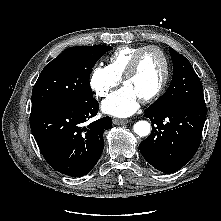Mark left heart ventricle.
I'll use <instances>...</instances> for the list:
<instances>
[{
  "mask_svg": "<svg viewBox=\"0 0 221 221\" xmlns=\"http://www.w3.org/2000/svg\"><path fill=\"white\" fill-rule=\"evenodd\" d=\"M163 60L157 51L146 52L139 63L136 73L124 83L141 100L158 87L163 76Z\"/></svg>",
  "mask_w": 221,
  "mask_h": 221,
  "instance_id": "obj_1",
  "label": "left heart ventricle"
}]
</instances>
